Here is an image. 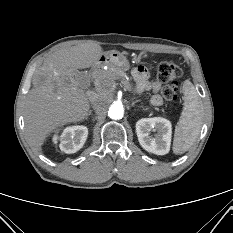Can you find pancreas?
<instances>
[{
  "label": "pancreas",
  "instance_id": "cf45deb5",
  "mask_svg": "<svg viewBox=\"0 0 233 233\" xmlns=\"http://www.w3.org/2000/svg\"><path fill=\"white\" fill-rule=\"evenodd\" d=\"M96 79L99 82H104V81L115 82L116 80H120L123 83V85L127 87V89L131 88L130 83L126 80L124 72L117 68L100 70ZM156 110H158V108H156ZM162 111L164 112V109H162Z\"/></svg>",
  "mask_w": 233,
  "mask_h": 233
}]
</instances>
